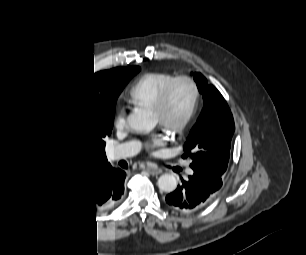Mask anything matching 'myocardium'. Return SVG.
<instances>
[{
  "instance_id": "f54148a6",
  "label": "myocardium",
  "mask_w": 306,
  "mask_h": 255,
  "mask_svg": "<svg viewBox=\"0 0 306 255\" xmlns=\"http://www.w3.org/2000/svg\"><path fill=\"white\" fill-rule=\"evenodd\" d=\"M188 84L192 89V99L186 115L177 123L166 124L161 123L170 131L179 134L184 131L194 120L200 105L201 90L197 81L188 75L178 76L173 79L155 98L152 103V109L157 114H163L166 110L168 102L174 93L175 89L180 84Z\"/></svg>"
}]
</instances>
